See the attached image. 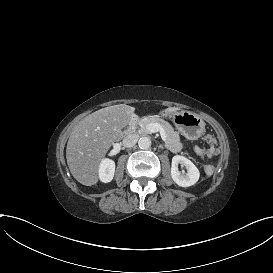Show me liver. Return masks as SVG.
<instances>
[{"instance_id":"obj_1","label":"liver","mask_w":273,"mask_h":273,"mask_svg":"<svg viewBox=\"0 0 273 273\" xmlns=\"http://www.w3.org/2000/svg\"><path fill=\"white\" fill-rule=\"evenodd\" d=\"M179 108L165 109L168 114ZM135 108L119 104L89 114L73 129L66 148L67 164L73 177L83 185L98 181L100 161L114 142L123 138L121 131L134 117Z\"/></svg>"}]
</instances>
